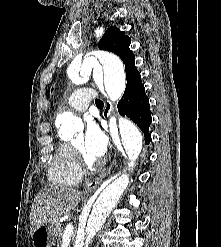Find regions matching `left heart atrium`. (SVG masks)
Wrapping results in <instances>:
<instances>
[{"instance_id": "1", "label": "left heart atrium", "mask_w": 221, "mask_h": 247, "mask_svg": "<svg viewBox=\"0 0 221 247\" xmlns=\"http://www.w3.org/2000/svg\"><path fill=\"white\" fill-rule=\"evenodd\" d=\"M108 138L96 122H89L86 126L83 147L91 158H99L107 150Z\"/></svg>"}]
</instances>
